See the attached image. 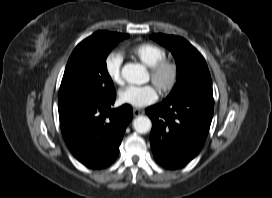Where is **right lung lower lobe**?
Wrapping results in <instances>:
<instances>
[{"label":"right lung lower lobe","instance_id":"obj_1","mask_svg":"<svg viewBox=\"0 0 272 198\" xmlns=\"http://www.w3.org/2000/svg\"><path fill=\"white\" fill-rule=\"evenodd\" d=\"M116 95L105 101L78 102L59 107L61 132L71 153L89 168L112 164L132 119L130 105L111 109Z\"/></svg>","mask_w":272,"mask_h":198}]
</instances>
